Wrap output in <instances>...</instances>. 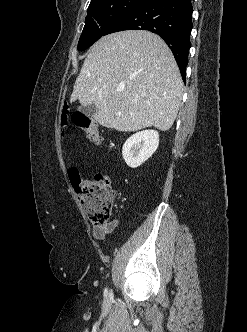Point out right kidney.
<instances>
[{
	"label": "right kidney",
	"mask_w": 247,
	"mask_h": 332,
	"mask_svg": "<svg viewBox=\"0 0 247 332\" xmlns=\"http://www.w3.org/2000/svg\"><path fill=\"white\" fill-rule=\"evenodd\" d=\"M159 134L155 130H144L130 136L122 148L123 159L131 168H137L157 150Z\"/></svg>",
	"instance_id": "ca27d5eb"
}]
</instances>
